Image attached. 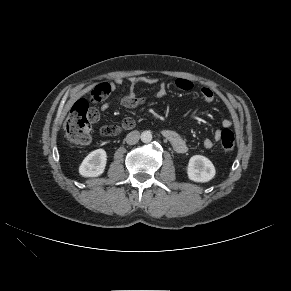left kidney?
Segmentation results:
<instances>
[{
	"mask_svg": "<svg viewBox=\"0 0 291 291\" xmlns=\"http://www.w3.org/2000/svg\"><path fill=\"white\" fill-rule=\"evenodd\" d=\"M216 173L213 163L206 157L194 155L190 158L187 174L188 178L194 182H208L214 178Z\"/></svg>",
	"mask_w": 291,
	"mask_h": 291,
	"instance_id": "5707ae66",
	"label": "left kidney"
}]
</instances>
